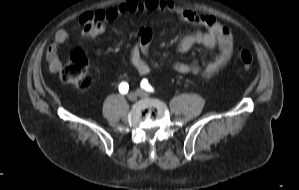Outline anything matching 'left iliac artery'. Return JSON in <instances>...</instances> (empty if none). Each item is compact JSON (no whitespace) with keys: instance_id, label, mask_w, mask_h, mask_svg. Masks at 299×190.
I'll list each match as a JSON object with an SVG mask.
<instances>
[{"instance_id":"left-iliac-artery-1","label":"left iliac artery","mask_w":299,"mask_h":190,"mask_svg":"<svg viewBox=\"0 0 299 190\" xmlns=\"http://www.w3.org/2000/svg\"><path fill=\"white\" fill-rule=\"evenodd\" d=\"M141 87H142L143 89H145L146 91L153 92V88L149 85L147 79H143V80L141 81Z\"/></svg>"}]
</instances>
